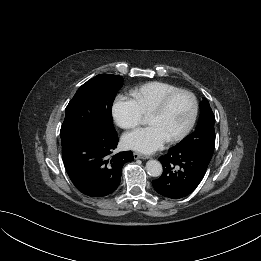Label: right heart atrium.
Returning <instances> with one entry per match:
<instances>
[{
	"label": "right heart atrium",
	"mask_w": 261,
	"mask_h": 261,
	"mask_svg": "<svg viewBox=\"0 0 261 261\" xmlns=\"http://www.w3.org/2000/svg\"><path fill=\"white\" fill-rule=\"evenodd\" d=\"M112 115L118 126L130 129L141 122L144 113L134 98L119 95L113 104Z\"/></svg>",
	"instance_id": "right-heart-atrium-1"
}]
</instances>
